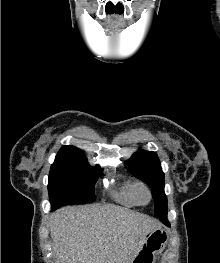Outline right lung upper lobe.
<instances>
[{
  "label": "right lung upper lobe",
  "instance_id": "right-lung-upper-lobe-1",
  "mask_svg": "<svg viewBox=\"0 0 220 263\" xmlns=\"http://www.w3.org/2000/svg\"><path fill=\"white\" fill-rule=\"evenodd\" d=\"M60 154H83L78 148L74 146H63L60 151Z\"/></svg>",
  "mask_w": 220,
  "mask_h": 263
}]
</instances>
